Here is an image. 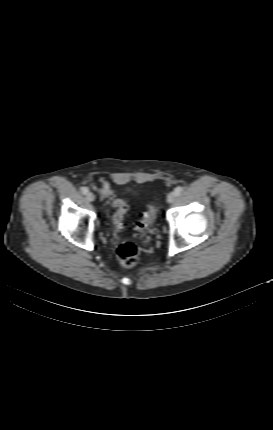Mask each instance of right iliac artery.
<instances>
[{
    "label": "right iliac artery",
    "instance_id": "obj_1",
    "mask_svg": "<svg viewBox=\"0 0 273 430\" xmlns=\"http://www.w3.org/2000/svg\"><path fill=\"white\" fill-rule=\"evenodd\" d=\"M88 188L87 187H82L81 188V192L83 193V194H87L88 193Z\"/></svg>",
    "mask_w": 273,
    "mask_h": 430
}]
</instances>
